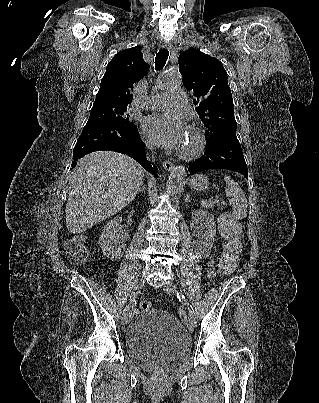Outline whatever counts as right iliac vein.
Wrapping results in <instances>:
<instances>
[{
	"label": "right iliac vein",
	"mask_w": 319,
	"mask_h": 403,
	"mask_svg": "<svg viewBox=\"0 0 319 403\" xmlns=\"http://www.w3.org/2000/svg\"><path fill=\"white\" fill-rule=\"evenodd\" d=\"M143 286H144V280L143 279L137 280L131 293V301H133L137 297ZM121 321L124 326L127 325L129 321V308H126L124 310Z\"/></svg>",
	"instance_id": "obj_1"
}]
</instances>
